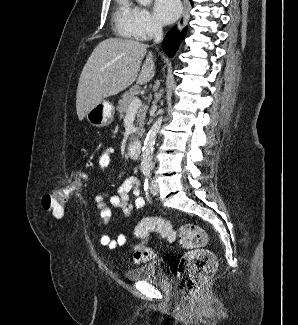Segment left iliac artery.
Segmentation results:
<instances>
[{"label":"left iliac artery","mask_w":298,"mask_h":325,"mask_svg":"<svg viewBox=\"0 0 298 325\" xmlns=\"http://www.w3.org/2000/svg\"><path fill=\"white\" fill-rule=\"evenodd\" d=\"M144 175L146 176L145 178V184H144V190H145V195L147 200H149V195H148V180L150 177V173H144Z\"/></svg>","instance_id":"left-iliac-artery-1"}]
</instances>
